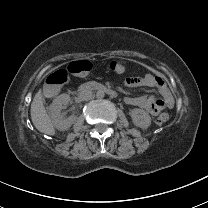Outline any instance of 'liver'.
<instances>
[{"instance_id": "6515ba94", "label": "liver", "mask_w": 208, "mask_h": 208, "mask_svg": "<svg viewBox=\"0 0 208 208\" xmlns=\"http://www.w3.org/2000/svg\"><path fill=\"white\" fill-rule=\"evenodd\" d=\"M44 98L41 90H39L33 98L31 104V119L36 129L48 135H54L55 129L53 123L46 113L43 105Z\"/></svg>"}]
</instances>
